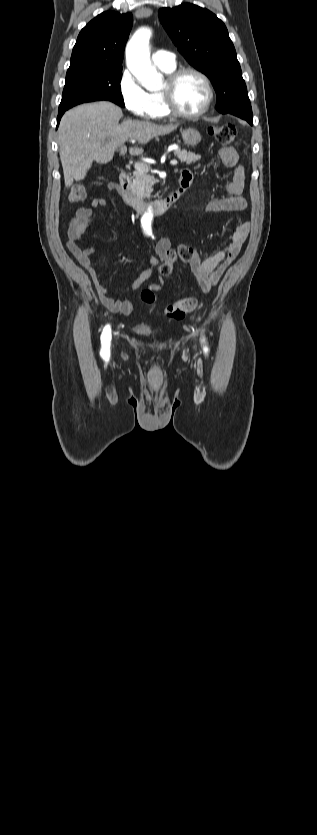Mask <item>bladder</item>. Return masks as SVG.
<instances>
[{
  "label": "bladder",
  "mask_w": 317,
  "mask_h": 835,
  "mask_svg": "<svg viewBox=\"0 0 317 835\" xmlns=\"http://www.w3.org/2000/svg\"><path fill=\"white\" fill-rule=\"evenodd\" d=\"M135 331L139 334H148L150 332V326L147 323H139L135 326Z\"/></svg>",
  "instance_id": "bladder-1"
}]
</instances>
